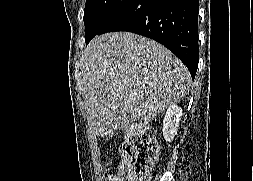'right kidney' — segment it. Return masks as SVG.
Returning <instances> with one entry per match:
<instances>
[{
    "mask_svg": "<svg viewBox=\"0 0 253 181\" xmlns=\"http://www.w3.org/2000/svg\"><path fill=\"white\" fill-rule=\"evenodd\" d=\"M182 117V109L176 104H171L163 120V136L166 141L171 142L177 133Z\"/></svg>",
    "mask_w": 253,
    "mask_h": 181,
    "instance_id": "ca27d5eb",
    "label": "right kidney"
}]
</instances>
